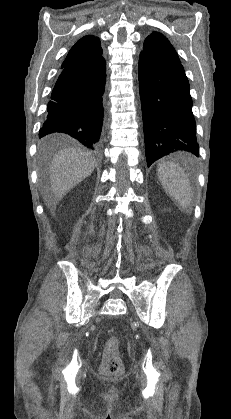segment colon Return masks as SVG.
<instances>
[{
    "mask_svg": "<svg viewBox=\"0 0 231 419\" xmlns=\"http://www.w3.org/2000/svg\"><path fill=\"white\" fill-rule=\"evenodd\" d=\"M121 369L122 362L119 355V340L116 337H111L105 345L101 372L105 375H115Z\"/></svg>",
    "mask_w": 231,
    "mask_h": 419,
    "instance_id": "obj_1",
    "label": "colon"
}]
</instances>
